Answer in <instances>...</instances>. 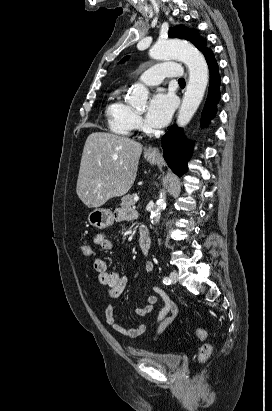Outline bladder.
Here are the masks:
<instances>
[{
	"label": "bladder",
	"mask_w": 272,
	"mask_h": 411,
	"mask_svg": "<svg viewBox=\"0 0 272 411\" xmlns=\"http://www.w3.org/2000/svg\"><path fill=\"white\" fill-rule=\"evenodd\" d=\"M141 357L154 365L162 366L169 370L178 369L183 361L182 355L178 353L165 354L146 352L141 354Z\"/></svg>",
	"instance_id": "31cf9c89"
}]
</instances>
